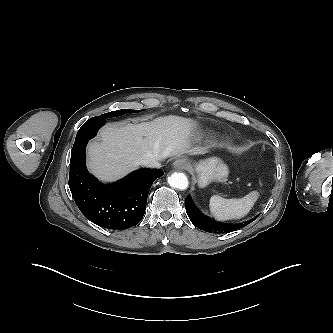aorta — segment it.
<instances>
[{
  "label": "aorta",
  "instance_id": "1",
  "mask_svg": "<svg viewBox=\"0 0 333 333\" xmlns=\"http://www.w3.org/2000/svg\"><path fill=\"white\" fill-rule=\"evenodd\" d=\"M168 183L171 187L185 190L188 187V179L187 176L184 173H177L174 172L167 178Z\"/></svg>",
  "mask_w": 333,
  "mask_h": 333
}]
</instances>
